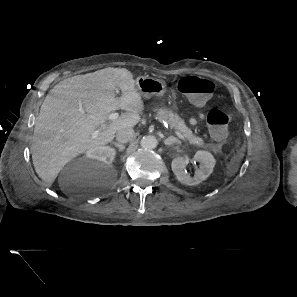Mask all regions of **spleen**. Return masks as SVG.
Returning <instances> with one entry per match:
<instances>
[{
    "mask_svg": "<svg viewBox=\"0 0 297 297\" xmlns=\"http://www.w3.org/2000/svg\"><path fill=\"white\" fill-rule=\"evenodd\" d=\"M234 166L232 164L227 165L226 174H232L234 172Z\"/></svg>",
    "mask_w": 297,
    "mask_h": 297,
    "instance_id": "1",
    "label": "spleen"
}]
</instances>
